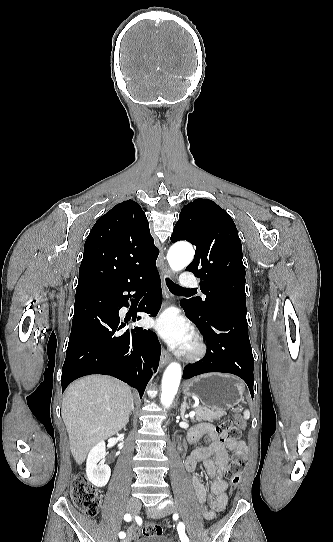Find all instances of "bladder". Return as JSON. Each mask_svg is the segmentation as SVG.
Instances as JSON below:
<instances>
[{
  "label": "bladder",
  "mask_w": 333,
  "mask_h": 542,
  "mask_svg": "<svg viewBox=\"0 0 333 542\" xmlns=\"http://www.w3.org/2000/svg\"><path fill=\"white\" fill-rule=\"evenodd\" d=\"M136 542H174L172 538L161 534H148L136 540Z\"/></svg>",
  "instance_id": "obj_1"
}]
</instances>
